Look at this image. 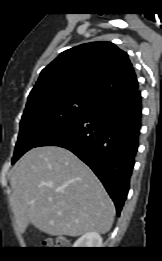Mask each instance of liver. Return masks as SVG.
Returning <instances> with one entry per match:
<instances>
[{"mask_svg": "<svg viewBox=\"0 0 162 261\" xmlns=\"http://www.w3.org/2000/svg\"><path fill=\"white\" fill-rule=\"evenodd\" d=\"M11 207L24 233L29 224L52 236L107 233L114 204L103 185L77 156L58 146L28 151L12 168Z\"/></svg>", "mask_w": 162, "mask_h": 261, "instance_id": "liver-1", "label": "liver"}]
</instances>
